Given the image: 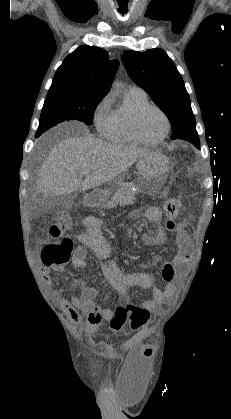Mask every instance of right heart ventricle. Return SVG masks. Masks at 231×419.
I'll use <instances>...</instances> for the list:
<instances>
[{
  "label": "right heart ventricle",
  "mask_w": 231,
  "mask_h": 419,
  "mask_svg": "<svg viewBox=\"0 0 231 419\" xmlns=\"http://www.w3.org/2000/svg\"><path fill=\"white\" fill-rule=\"evenodd\" d=\"M149 103L145 92L128 90L123 105L115 114V128L110 139L117 144H132L138 141L132 134L130 120L133 112Z\"/></svg>",
  "instance_id": "obj_1"
}]
</instances>
